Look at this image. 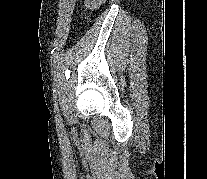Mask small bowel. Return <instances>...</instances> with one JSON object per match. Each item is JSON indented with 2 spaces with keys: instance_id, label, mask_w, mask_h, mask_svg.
<instances>
[{
  "instance_id": "c3829d8e",
  "label": "small bowel",
  "mask_w": 207,
  "mask_h": 179,
  "mask_svg": "<svg viewBox=\"0 0 207 179\" xmlns=\"http://www.w3.org/2000/svg\"><path fill=\"white\" fill-rule=\"evenodd\" d=\"M104 1L105 0H86L85 3H86L87 7L93 8V7L103 3Z\"/></svg>"
}]
</instances>
